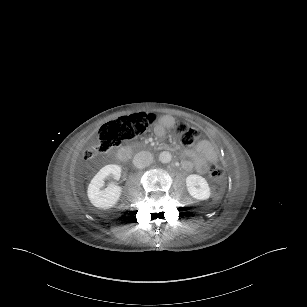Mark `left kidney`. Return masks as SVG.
I'll list each match as a JSON object with an SVG mask.
<instances>
[{"label":"left kidney","mask_w":307,"mask_h":307,"mask_svg":"<svg viewBox=\"0 0 307 307\" xmlns=\"http://www.w3.org/2000/svg\"><path fill=\"white\" fill-rule=\"evenodd\" d=\"M186 186L189 194L198 200H206L210 197V187L205 178L197 174L186 177Z\"/></svg>","instance_id":"obj_1"}]
</instances>
